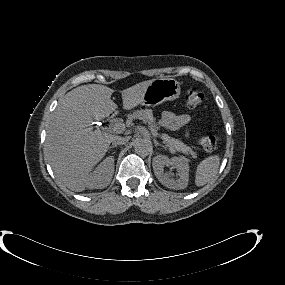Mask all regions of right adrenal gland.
<instances>
[{"label": "right adrenal gland", "mask_w": 285, "mask_h": 285, "mask_svg": "<svg viewBox=\"0 0 285 285\" xmlns=\"http://www.w3.org/2000/svg\"><path fill=\"white\" fill-rule=\"evenodd\" d=\"M115 147H117V146L116 145H112V146L109 147V149L115 148Z\"/></svg>", "instance_id": "right-adrenal-gland-1"}]
</instances>
